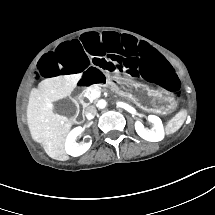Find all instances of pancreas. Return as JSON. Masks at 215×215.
Segmentation results:
<instances>
[{"instance_id":"cf45deb5","label":"pancreas","mask_w":215,"mask_h":215,"mask_svg":"<svg viewBox=\"0 0 215 215\" xmlns=\"http://www.w3.org/2000/svg\"><path fill=\"white\" fill-rule=\"evenodd\" d=\"M110 89L112 92H114L115 94H117L120 97H125V92H123L122 90H120L116 84L114 82H110ZM93 90H101V85H91L90 87H88L85 91L84 94L86 93L88 95V98L90 100V102H93L96 98L94 97V95L92 94Z\"/></svg>"}]
</instances>
